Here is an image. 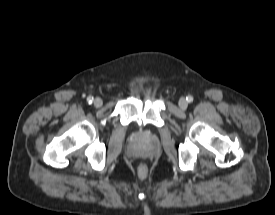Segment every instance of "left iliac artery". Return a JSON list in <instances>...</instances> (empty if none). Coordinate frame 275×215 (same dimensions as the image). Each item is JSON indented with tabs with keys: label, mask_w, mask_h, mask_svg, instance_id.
I'll return each instance as SVG.
<instances>
[{
	"label": "left iliac artery",
	"mask_w": 275,
	"mask_h": 215,
	"mask_svg": "<svg viewBox=\"0 0 275 215\" xmlns=\"http://www.w3.org/2000/svg\"><path fill=\"white\" fill-rule=\"evenodd\" d=\"M186 100L190 103L193 101V97L189 95L186 97Z\"/></svg>",
	"instance_id": "left-iliac-artery-1"
}]
</instances>
